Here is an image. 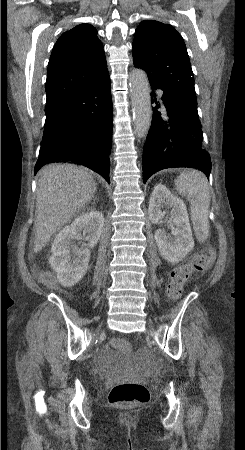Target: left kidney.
<instances>
[{"label":"left kidney","mask_w":245,"mask_h":450,"mask_svg":"<svg viewBox=\"0 0 245 450\" xmlns=\"http://www.w3.org/2000/svg\"><path fill=\"white\" fill-rule=\"evenodd\" d=\"M170 211L175 228L172 236L167 235L164 229L155 231V241L161 256L170 263L181 261L194 247L192 230L184 202L173 196L162 184L154 187L149 200V219L152 223H158L164 216L162 208Z\"/></svg>","instance_id":"obj_1"}]
</instances>
